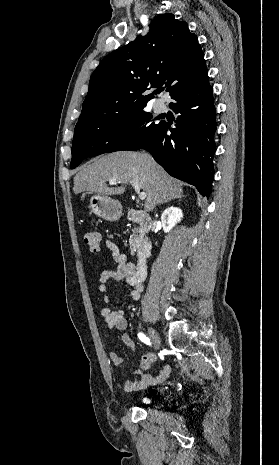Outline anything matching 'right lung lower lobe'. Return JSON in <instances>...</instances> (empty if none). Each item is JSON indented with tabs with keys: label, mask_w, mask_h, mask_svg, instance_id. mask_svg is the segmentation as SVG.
I'll return each instance as SVG.
<instances>
[{
	"label": "right lung lower lobe",
	"mask_w": 279,
	"mask_h": 465,
	"mask_svg": "<svg viewBox=\"0 0 279 465\" xmlns=\"http://www.w3.org/2000/svg\"><path fill=\"white\" fill-rule=\"evenodd\" d=\"M170 108L180 113L176 128L164 122L158 134L142 146L124 150L145 149L171 176L194 185L209 197L214 179L213 158L216 151V111L209 78L193 83L172 97Z\"/></svg>",
	"instance_id": "98d812e1"
}]
</instances>
